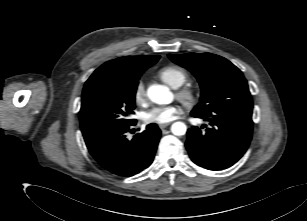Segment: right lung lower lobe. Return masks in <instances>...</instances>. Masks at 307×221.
Returning <instances> with one entry per match:
<instances>
[{
  "instance_id": "right-lung-lower-lobe-1",
  "label": "right lung lower lobe",
  "mask_w": 307,
  "mask_h": 221,
  "mask_svg": "<svg viewBox=\"0 0 307 221\" xmlns=\"http://www.w3.org/2000/svg\"><path fill=\"white\" fill-rule=\"evenodd\" d=\"M130 126L108 131L86 143L98 164L109 173L120 177L133 176L150 166L161 135L158 126L150 124L145 131L129 141L125 134Z\"/></svg>"
}]
</instances>
